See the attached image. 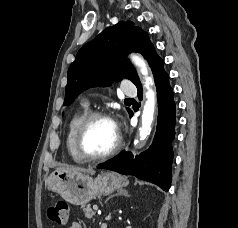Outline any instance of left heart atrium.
Returning a JSON list of instances; mask_svg holds the SVG:
<instances>
[{"instance_id":"39dd6f15","label":"left heart atrium","mask_w":238,"mask_h":228,"mask_svg":"<svg viewBox=\"0 0 238 228\" xmlns=\"http://www.w3.org/2000/svg\"><path fill=\"white\" fill-rule=\"evenodd\" d=\"M112 122H113V124L115 126V129L117 130V124L114 121H112Z\"/></svg>"}]
</instances>
